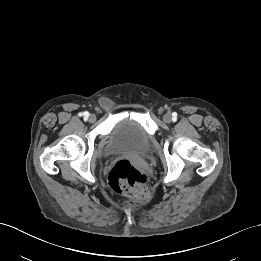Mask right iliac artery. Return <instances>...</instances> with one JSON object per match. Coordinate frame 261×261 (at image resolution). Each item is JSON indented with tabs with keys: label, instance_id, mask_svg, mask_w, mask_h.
Instances as JSON below:
<instances>
[{
	"label": "right iliac artery",
	"instance_id": "1",
	"mask_svg": "<svg viewBox=\"0 0 261 261\" xmlns=\"http://www.w3.org/2000/svg\"><path fill=\"white\" fill-rule=\"evenodd\" d=\"M83 115H84L85 118H88L89 117V112L86 111V112L83 113Z\"/></svg>",
	"mask_w": 261,
	"mask_h": 261
}]
</instances>
